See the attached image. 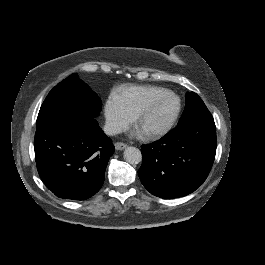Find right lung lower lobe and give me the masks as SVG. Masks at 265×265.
<instances>
[{"instance_id": "1", "label": "right lung lower lobe", "mask_w": 265, "mask_h": 265, "mask_svg": "<svg viewBox=\"0 0 265 265\" xmlns=\"http://www.w3.org/2000/svg\"><path fill=\"white\" fill-rule=\"evenodd\" d=\"M37 170L57 197L85 200L99 191L114 146L94 117L56 111L36 125Z\"/></svg>"}]
</instances>
